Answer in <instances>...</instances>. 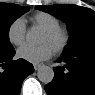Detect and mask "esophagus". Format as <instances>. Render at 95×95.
I'll list each match as a JSON object with an SVG mask.
<instances>
[{
    "label": "esophagus",
    "instance_id": "esophagus-1",
    "mask_svg": "<svg viewBox=\"0 0 95 95\" xmlns=\"http://www.w3.org/2000/svg\"><path fill=\"white\" fill-rule=\"evenodd\" d=\"M40 67H41V64H36V63L34 64V69L35 70H38Z\"/></svg>",
    "mask_w": 95,
    "mask_h": 95
}]
</instances>
